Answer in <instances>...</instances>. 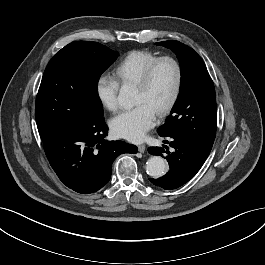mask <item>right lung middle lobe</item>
I'll return each mask as SVG.
<instances>
[{
  "label": "right lung middle lobe",
  "instance_id": "right-lung-middle-lobe-1",
  "mask_svg": "<svg viewBox=\"0 0 265 265\" xmlns=\"http://www.w3.org/2000/svg\"><path fill=\"white\" fill-rule=\"evenodd\" d=\"M117 57L116 51L98 42L77 41L51 59L35 106L42 141L103 117L97 85Z\"/></svg>",
  "mask_w": 265,
  "mask_h": 265
}]
</instances>
